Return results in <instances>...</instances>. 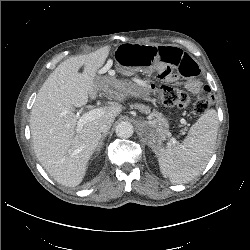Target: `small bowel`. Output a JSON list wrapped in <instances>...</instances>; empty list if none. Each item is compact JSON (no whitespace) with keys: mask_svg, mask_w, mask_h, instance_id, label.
<instances>
[{"mask_svg":"<svg viewBox=\"0 0 250 250\" xmlns=\"http://www.w3.org/2000/svg\"><path fill=\"white\" fill-rule=\"evenodd\" d=\"M114 67L130 76L156 77L163 82L184 79L185 87L199 92V66L182 50L174 47L123 44L114 53Z\"/></svg>","mask_w":250,"mask_h":250,"instance_id":"c3829d8e","label":"small bowel"}]
</instances>
